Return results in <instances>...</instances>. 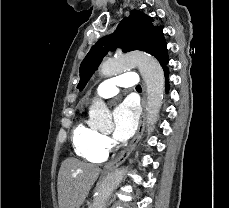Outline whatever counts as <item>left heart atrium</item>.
<instances>
[{"label": "left heart atrium", "instance_id": "1", "mask_svg": "<svg viewBox=\"0 0 229 208\" xmlns=\"http://www.w3.org/2000/svg\"><path fill=\"white\" fill-rule=\"evenodd\" d=\"M138 121L136 106L129 100H125L114 110L113 135L118 141H125L134 133Z\"/></svg>", "mask_w": 229, "mask_h": 208}]
</instances>
